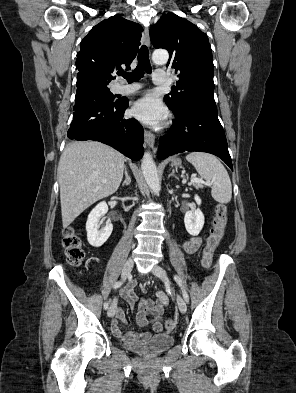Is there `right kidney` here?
Segmentation results:
<instances>
[{
  "label": "right kidney",
  "instance_id": "obj_1",
  "mask_svg": "<svg viewBox=\"0 0 296 393\" xmlns=\"http://www.w3.org/2000/svg\"><path fill=\"white\" fill-rule=\"evenodd\" d=\"M108 212V205L106 202H100L88 215L86 222L87 240L93 247L102 246L110 237L113 225L107 222L105 227L99 230L100 219Z\"/></svg>",
  "mask_w": 296,
  "mask_h": 393
}]
</instances>
